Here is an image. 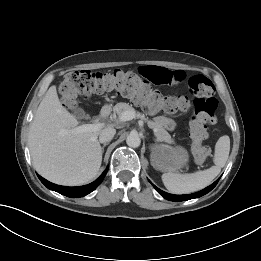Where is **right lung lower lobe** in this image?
Listing matches in <instances>:
<instances>
[{"label": "right lung lower lobe", "instance_id": "1", "mask_svg": "<svg viewBox=\"0 0 261 261\" xmlns=\"http://www.w3.org/2000/svg\"><path fill=\"white\" fill-rule=\"evenodd\" d=\"M107 171H108V167L97 180H95L94 182H92L88 185L80 186V187L59 186V185H56V184H53V183L47 181L46 179L42 178L38 174H37V176L48 189L54 190L67 197L77 198V197L85 196V195L91 193L94 189H96L97 186H99V184L103 181Z\"/></svg>", "mask_w": 261, "mask_h": 261}]
</instances>
